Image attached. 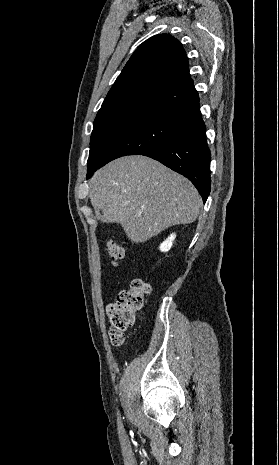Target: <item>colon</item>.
Listing matches in <instances>:
<instances>
[{
    "instance_id": "5ec220e1",
    "label": "colon",
    "mask_w": 279,
    "mask_h": 465,
    "mask_svg": "<svg viewBox=\"0 0 279 465\" xmlns=\"http://www.w3.org/2000/svg\"><path fill=\"white\" fill-rule=\"evenodd\" d=\"M107 254L112 265L126 255V249L116 241L110 240L107 244ZM150 292L148 283L141 279H134L129 288L122 290L117 300L107 307L110 329L109 337L113 346L121 347L125 343L126 332L133 327L137 312L144 305V298Z\"/></svg>"
}]
</instances>
